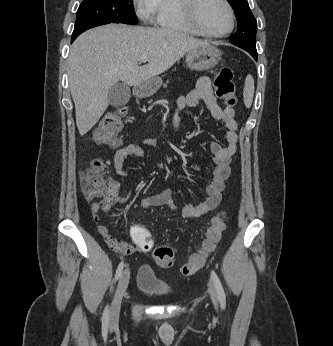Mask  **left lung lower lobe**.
<instances>
[{
    "label": "left lung lower lobe",
    "instance_id": "left-lung-lower-lobe-1",
    "mask_svg": "<svg viewBox=\"0 0 333 346\" xmlns=\"http://www.w3.org/2000/svg\"><path fill=\"white\" fill-rule=\"evenodd\" d=\"M253 57L255 60H257V54H254Z\"/></svg>",
    "mask_w": 333,
    "mask_h": 346
}]
</instances>
